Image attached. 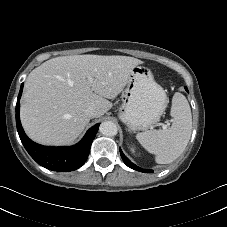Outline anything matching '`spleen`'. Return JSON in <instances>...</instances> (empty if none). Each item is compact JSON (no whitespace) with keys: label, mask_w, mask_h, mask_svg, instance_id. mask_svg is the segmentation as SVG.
Returning <instances> with one entry per match:
<instances>
[{"label":"spleen","mask_w":227,"mask_h":227,"mask_svg":"<svg viewBox=\"0 0 227 227\" xmlns=\"http://www.w3.org/2000/svg\"><path fill=\"white\" fill-rule=\"evenodd\" d=\"M172 126L163 130H149L136 135L138 142L154 154L158 164H169L185 150L191 136L192 115L184 95L176 92L172 99Z\"/></svg>","instance_id":"1"}]
</instances>
